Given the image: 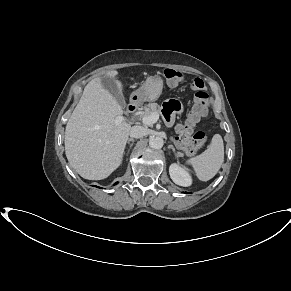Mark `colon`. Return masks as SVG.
<instances>
[{"mask_svg":"<svg viewBox=\"0 0 291 291\" xmlns=\"http://www.w3.org/2000/svg\"><path fill=\"white\" fill-rule=\"evenodd\" d=\"M164 77L171 85H177L183 80V73L174 69H166ZM193 88L196 90L194 104L187 120L178 127L177 143L181 149L189 154L199 151L205 141L206 134L203 131L195 130V126L206 115L209 103V97L204 90L203 82L196 79L193 82Z\"/></svg>","mask_w":291,"mask_h":291,"instance_id":"1","label":"colon"}]
</instances>
